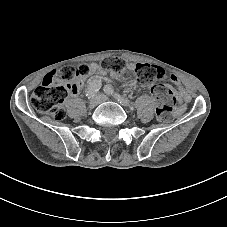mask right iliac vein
I'll list each match as a JSON object with an SVG mask.
<instances>
[{
  "label": "right iliac vein",
  "instance_id": "obj_1",
  "mask_svg": "<svg viewBox=\"0 0 227 227\" xmlns=\"http://www.w3.org/2000/svg\"><path fill=\"white\" fill-rule=\"evenodd\" d=\"M101 103L99 97L96 95L89 101V108L92 109Z\"/></svg>",
  "mask_w": 227,
  "mask_h": 227
}]
</instances>
